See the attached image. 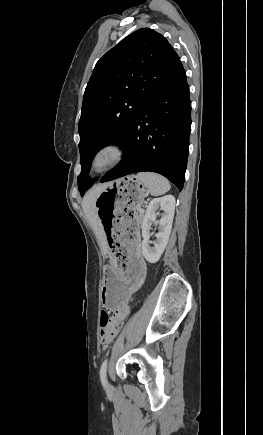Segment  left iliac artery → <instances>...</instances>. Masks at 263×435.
I'll use <instances>...</instances> for the list:
<instances>
[{
  "instance_id": "44dca946",
  "label": "left iliac artery",
  "mask_w": 263,
  "mask_h": 435,
  "mask_svg": "<svg viewBox=\"0 0 263 435\" xmlns=\"http://www.w3.org/2000/svg\"><path fill=\"white\" fill-rule=\"evenodd\" d=\"M107 363L108 360L105 359L100 368V379L104 386L107 385V379H106Z\"/></svg>"
}]
</instances>
